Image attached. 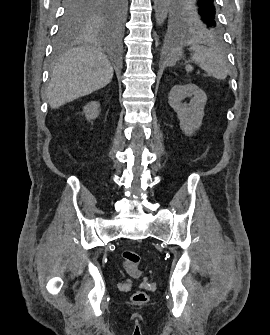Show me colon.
<instances>
[{
    "label": "colon",
    "instance_id": "1",
    "mask_svg": "<svg viewBox=\"0 0 270 335\" xmlns=\"http://www.w3.org/2000/svg\"><path fill=\"white\" fill-rule=\"evenodd\" d=\"M122 261L124 267L132 272L139 267L141 256L139 252L134 249H125L122 253ZM132 298L135 302L144 303L148 300V294L140 290L133 293Z\"/></svg>",
    "mask_w": 270,
    "mask_h": 335
}]
</instances>
